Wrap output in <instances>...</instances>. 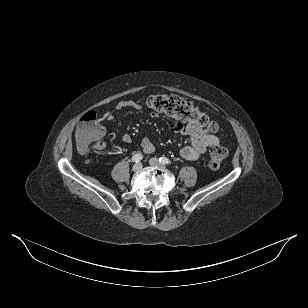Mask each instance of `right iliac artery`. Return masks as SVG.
<instances>
[{
	"instance_id": "1",
	"label": "right iliac artery",
	"mask_w": 308,
	"mask_h": 308,
	"mask_svg": "<svg viewBox=\"0 0 308 308\" xmlns=\"http://www.w3.org/2000/svg\"><path fill=\"white\" fill-rule=\"evenodd\" d=\"M143 159V155L141 154V153H137V154H135L133 157H132V161L133 162H139L140 160H142Z\"/></svg>"
}]
</instances>
